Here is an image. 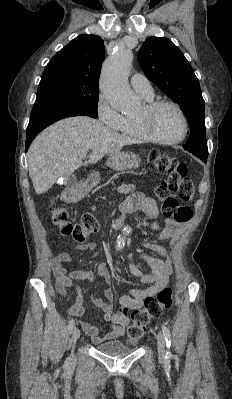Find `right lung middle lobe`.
Masks as SVG:
<instances>
[{
	"label": "right lung middle lobe",
	"instance_id": "1",
	"mask_svg": "<svg viewBox=\"0 0 232 399\" xmlns=\"http://www.w3.org/2000/svg\"><path fill=\"white\" fill-rule=\"evenodd\" d=\"M98 90V85H87L67 79L54 78L41 80L37 95L52 96L78 104L96 114L99 98Z\"/></svg>",
	"mask_w": 232,
	"mask_h": 399
}]
</instances>
